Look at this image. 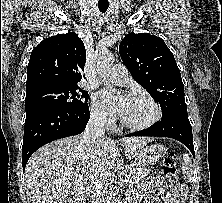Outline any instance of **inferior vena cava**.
<instances>
[{"instance_id": "obj_1", "label": "inferior vena cava", "mask_w": 222, "mask_h": 203, "mask_svg": "<svg viewBox=\"0 0 222 203\" xmlns=\"http://www.w3.org/2000/svg\"><path fill=\"white\" fill-rule=\"evenodd\" d=\"M106 114L94 112L91 114L83 134V140L87 145H94L97 140L105 139ZM92 203H108L106 185L102 181L95 184L92 191Z\"/></svg>"}]
</instances>
